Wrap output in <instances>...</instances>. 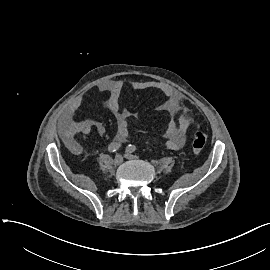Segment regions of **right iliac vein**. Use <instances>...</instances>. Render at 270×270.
<instances>
[{"label":"right iliac vein","instance_id":"obj_1","mask_svg":"<svg viewBox=\"0 0 270 270\" xmlns=\"http://www.w3.org/2000/svg\"><path fill=\"white\" fill-rule=\"evenodd\" d=\"M123 162V156L121 154H117L113 160L114 165H120Z\"/></svg>","mask_w":270,"mask_h":270}]
</instances>
